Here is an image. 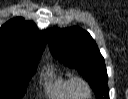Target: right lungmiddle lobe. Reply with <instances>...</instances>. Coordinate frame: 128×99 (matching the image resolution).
I'll return each instance as SVG.
<instances>
[{"mask_svg": "<svg viewBox=\"0 0 128 99\" xmlns=\"http://www.w3.org/2000/svg\"><path fill=\"white\" fill-rule=\"evenodd\" d=\"M41 56H0V99H21Z\"/></svg>", "mask_w": 128, "mask_h": 99, "instance_id": "dd1d6c3e", "label": "right lung middle lobe"}]
</instances>
